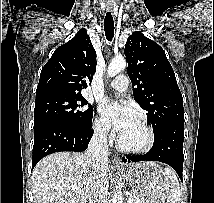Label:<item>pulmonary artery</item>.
Returning a JSON list of instances; mask_svg holds the SVG:
<instances>
[{
	"label": "pulmonary artery",
	"mask_w": 214,
	"mask_h": 203,
	"mask_svg": "<svg viewBox=\"0 0 214 203\" xmlns=\"http://www.w3.org/2000/svg\"><path fill=\"white\" fill-rule=\"evenodd\" d=\"M129 85V79L126 75H119L115 77L111 83L110 86L119 92H125Z\"/></svg>",
	"instance_id": "e3ab8cb5"
}]
</instances>
